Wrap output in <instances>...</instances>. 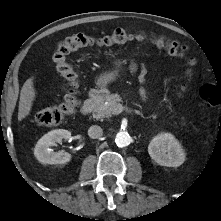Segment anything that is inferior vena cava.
Returning <instances> with one entry per match:
<instances>
[{
  "label": "inferior vena cava",
  "instance_id": "602c4592",
  "mask_svg": "<svg viewBox=\"0 0 221 221\" xmlns=\"http://www.w3.org/2000/svg\"><path fill=\"white\" fill-rule=\"evenodd\" d=\"M88 135H89L90 138L96 139V138H99V137H101L103 135V130L98 125H92L88 129Z\"/></svg>",
  "mask_w": 221,
  "mask_h": 221
}]
</instances>
